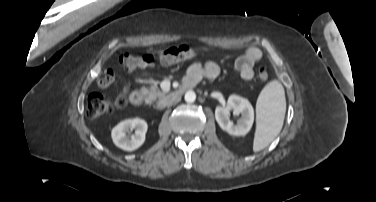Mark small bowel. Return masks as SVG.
<instances>
[{"label": "small bowel", "instance_id": "1", "mask_svg": "<svg viewBox=\"0 0 376 202\" xmlns=\"http://www.w3.org/2000/svg\"><path fill=\"white\" fill-rule=\"evenodd\" d=\"M261 57L262 52L259 48L250 47L236 59L235 67L244 80H251L253 78V67L260 61ZM219 72V67L214 62H207L204 65L200 63H193L187 69L184 83L194 86L204 77H217Z\"/></svg>", "mask_w": 376, "mask_h": 202}]
</instances>
